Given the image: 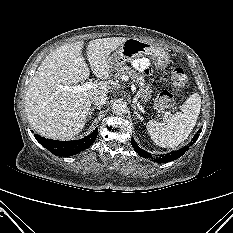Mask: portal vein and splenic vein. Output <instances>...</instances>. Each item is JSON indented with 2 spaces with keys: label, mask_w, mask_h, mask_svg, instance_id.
Wrapping results in <instances>:
<instances>
[{
  "label": "portal vein and splenic vein",
  "mask_w": 233,
  "mask_h": 233,
  "mask_svg": "<svg viewBox=\"0 0 233 233\" xmlns=\"http://www.w3.org/2000/svg\"><path fill=\"white\" fill-rule=\"evenodd\" d=\"M121 79L127 81L129 78H128V76L123 75ZM60 88H61V90H64V91H71L74 93H79V92H83L86 90H96L98 88V85L94 84L92 82H86L82 85L60 86ZM165 115L167 116L168 113H165Z\"/></svg>",
  "instance_id": "obj_1"
}]
</instances>
